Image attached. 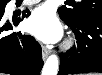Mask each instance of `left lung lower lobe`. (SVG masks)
<instances>
[{
	"instance_id": "left-lung-lower-lobe-1",
	"label": "left lung lower lobe",
	"mask_w": 102,
	"mask_h": 75,
	"mask_svg": "<svg viewBox=\"0 0 102 75\" xmlns=\"http://www.w3.org/2000/svg\"><path fill=\"white\" fill-rule=\"evenodd\" d=\"M62 20L75 33L77 46L61 53L58 75L102 72V17Z\"/></svg>"
}]
</instances>
